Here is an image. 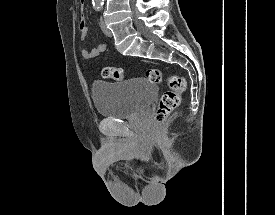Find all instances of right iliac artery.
I'll list each match as a JSON object with an SVG mask.
<instances>
[{
    "label": "right iliac artery",
    "mask_w": 275,
    "mask_h": 215,
    "mask_svg": "<svg viewBox=\"0 0 275 215\" xmlns=\"http://www.w3.org/2000/svg\"><path fill=\"white\" fill-rule=\"evenodd\" d=\"M99 9V7H96V10H98Z\"/></svg>",
    "instance_id": "1"
}]
</instances>
